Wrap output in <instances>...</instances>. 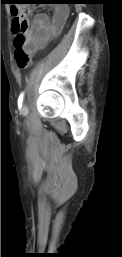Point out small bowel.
<instances>
[{
    "label": "small bowel",
    "instance_id": "small-bowel-1",
    "mask_svg": "<svg viewBox=\"0 0 122 257\" xmlns=\"http://www.w3.org/2000/svg\"><path fill=\"white\" fill-rule=\"evenodd\" d=\"M69 10L65 6H56L50 18L45 13L36 14L25 32L23 49L28 55H33L56 37L63 29Z\"/></svg>",
    "mask_w": 122,
    "mask_h": 257
}]
</instances>
